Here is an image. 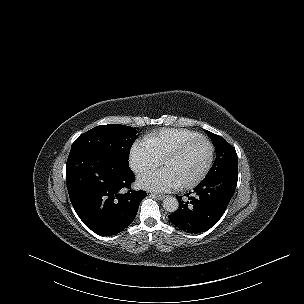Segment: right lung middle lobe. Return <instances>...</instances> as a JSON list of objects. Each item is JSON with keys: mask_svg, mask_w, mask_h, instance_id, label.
<instances>
[{"mask_svg": "<svg viewBox=\"0 0 304 304\" xmlns=\"http://www.w3.org/2000/svg\"><path fill=\"white\" fill-rule=\"evenodd\" d=\"M136 134L134 128L125 125L97 126L80 135L72 144L71 151L89 149L103 152L113 157L116 169H129L128 158Z\"/></svg>", "mask_w": 304, "mask_h": 304, "instance_id": "1", "label": "right lung middle lobe"}]
</instances>
